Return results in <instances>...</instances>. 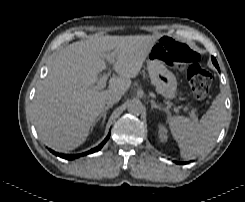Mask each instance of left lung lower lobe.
<instances>
[{"label":"left lung lower lobe","instance_id":"obj_1","mask_svg":"<svg viewBox=\"0 0 245 202\" xmlns=\"http://www.w3.org/2000/svg\"><path fill=\"white\" fill-rule=\"evenodd\" d=\"M187 162H178V164H186Z\"/></svg>","mask_w":245,"mask_h":202}]
</instances>
